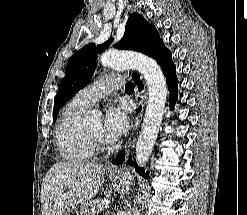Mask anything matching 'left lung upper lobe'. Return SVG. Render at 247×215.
I'll list each match as a JSON object with an SVG mask.
<instances>
[{
  "instance_id": "5c2ea615",
  "label": "left lung upper lobe",
  "mask_w": 247,
  "mask_h": 215,
  "mask_svg": "<svg viewBox=\"0 0 247 215\" xmlns=\"http://www.w3.org/2000/svg\"><path fill=\"white\" fill-rule=\"evenodd\" d=\"M112 39L97 48L90 43L76 52L68 61L65 77L62 79L55 97L53 121L62 106L81 88L86 86L96 68L97 53L106 49ZM163 44L156 28L138 13H132L125 27L122 39L115 45L117 49L142 52L150 57Z\"/></svg>"
}]
</instances>
